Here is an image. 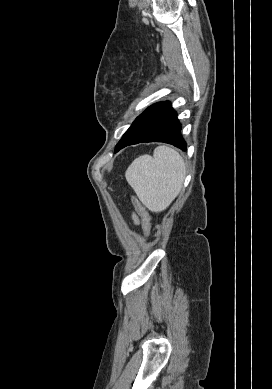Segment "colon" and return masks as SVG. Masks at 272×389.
<instances>
[{
	"label": "colon",
	"mask_w": 272,
	"mask_h": 389,
	"mask_svg": "<svg viewBox=\"0 0 272 389\" xmlns=\"http://www.w3.org/2000/svg\"><path fill=\"white\" fill-rule=\"evenodd\" d=\"M135 207L137 210L138 215L141 218L143 227L145 229V232L147 235H150L151 230H152V223H151V218L148 212L145 210V208L137 201L135 200Z\"/></svg>",
	"instance_id": "1"
}]
</instances>
